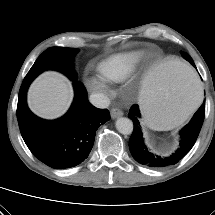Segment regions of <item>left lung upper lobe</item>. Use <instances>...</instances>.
I'll return each instance as SVG.
<instances>
[{
	"label": "left lung upper lobe",
	"mask_w": 215,
	"mask_h": 215,
	"mask_svg": "<svg viewBox=\"0 0 215 215\" xmlns=\"http://www.w3.org/2000/svg\"><path fill=\"white\" fill-rule=\"evenodd\" d=\"M182 53V55L184 56V58L186 59V60H188L195 68H196V66H195V64H194V62H193V60H192V58L186 53V52H181Z\"/></svg>",
	"instance_id": "obj_1"
}]
</instances>
